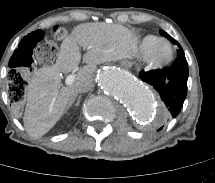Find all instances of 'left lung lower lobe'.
Here are the masks:
<instances>
[{"instance_id":"obj_1","label":"left lung lower lobe","mask_w":215,"mask_h":183,"mask_svg":"<svg viewBox=\"0 0 215 183\" xmlns=\"http://www.w3.org/2000/svg\"><path fill=\"white\" fill-rule=\"evenodd\" d=\"M139 76L157 90L166 106L168 117H176L187 94L188 63L185 55L178 56L166 69L141 71Z\"/></svg>"}]
</instances>
